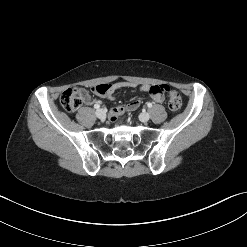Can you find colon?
I'll list each match as a JSON object with an SVG mask.
<instances>
[{
    "instance_id": "1",
    "label": "colon",
    "mask_w": 247,
    "mask_h": 247,
    "mask_svg": "<svg viewBox=\"0 0 247 247\" xmlns=\"http://www.w3.org/2000/svg\"><path fill=\"white\" fill-rule=\"evenodd\" d=\"M110 84H100L92 87V92L104 95L107 93ZM149 99L156 104L165 102L168 96V107L172 112H177L182 107V99L178 91L172 90L167 84H156L148 91ZM87 92L82 87H73L65 90L61 97L60 103L68 112L76 111L85 101ZM144 103L143 97H137L131 101L126 100L124 103H118L111 112V118L124 116L126 113L134 112L141 109Z\"/></svg>"
}]
</instances>
